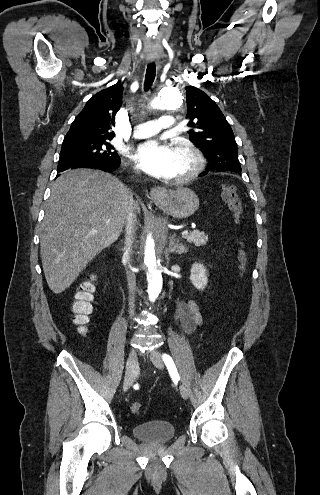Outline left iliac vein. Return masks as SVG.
<instances>
[{
  "label": "left iliac vein",
  "mask_w": 320,
  "mask_h": 495,
  "mask_svg": "<svg viewBox=\"0 0 320 495\" xmlns=\"http://www.w3.org/2000/svg\"><path fill=\"white\" fill-rule=\"evenodd\" d=\"M150 360L152 361V363L154 364V366L160 370H162L164 368V364H163V360H162V356L160 354L159 351L157 350H153L152 352H150ZM180 394L181 396L184 398V399H188L189 397V391L188 389L186 388V386L184 384H181L180 387Z\"/></svg>",
  "instance_id": "left-iliac-vein-1"
}]
</instances>
